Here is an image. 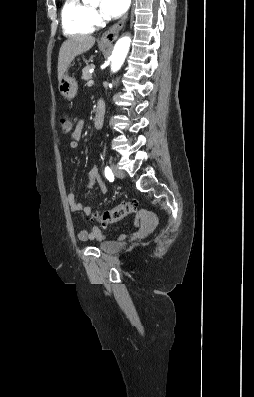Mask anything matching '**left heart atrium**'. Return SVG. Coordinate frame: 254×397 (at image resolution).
<instances>
[{
	"label": "left heart atrium",
	"mask_w": 254,
	"mask_h": 397,
	"mask_svg": "<svg viewBox=\"0 0 254 397\" xmlns=\"http://www.w3.org/2000/svg\"><path fill=\"white\" fill-rule=\"evenodd\" d=\"M130 0H101V11L112 18L119 17L129 7Z\"/></svg>",
	"instance_id": "39dd6f15"
}]
</instances>
